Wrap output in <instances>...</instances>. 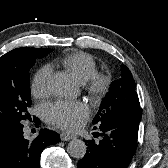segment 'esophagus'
<instances>
[{
    "label": "esophagus",
    "mask_w": 168,
    "mask_h": 168,
    "mask_svg": "<svg viewBox=\"0 0 168 168\" xmlns=\"http://www.w3.org/2000/svg\"><path fill=\"white\" fill-rule=\"evenodd\" d=\"M60 138H61L62 141H70V140L74 139L75 136L67 134V133H62L60 135Z\"/></svg>",
    "instance_id": "obj_1"
}]
</instances>
